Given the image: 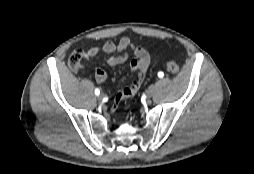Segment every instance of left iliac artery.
<instances>
[{"label": "left iliac artery", "mask_w": 254, "mask_h": 174, "mask_svg": "<svg viewBox=\"0 0 254 174\" xmlns=\"http://www.w3.org/2000/svg\"><path fill=\"white\" fill-rule=\"evenodd\" d=\"M163 76H164V73H163V72H159V73H158V77H159V78H162Z\"/></svg>", "instance_id": "obj_1"}]
</instances>
